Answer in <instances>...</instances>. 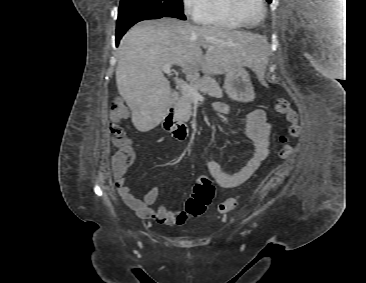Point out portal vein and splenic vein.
I'll list each match as a JSON object with an SVG mask.
<instances>
[{
  "mask_svg": "<svg viewBox=\"0 0 366 283\" xmlns=\"http://www.w3.org/2000/svg\"><path fill=\"white\" fill-rule=\"evenodd\" d=\"M174 63H167L162 67V71L168 75L172 74V65ZM175 82L180 85L182 92L190 93L193 96H199L197 86L192 83H187L182 79L174 78Z\"/></svg>",
  "mask_w": 366,
  "mask_h": 283,
  "instance_id": "1",
  "label": "portal vein and splenic vein"
}]
</instances>
